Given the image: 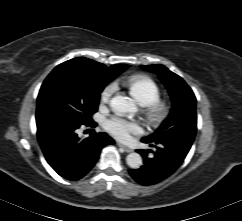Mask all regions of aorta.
<instances>
[{
  "mask_svg": "<svg viewBox=\"0 0 242 221\" xmlns=\"http://www.w3.org/2000/svg\"><path fill=\"white\" fill-rule=\"evenodd\" d=\"M110 106L113 110L120 113L134 112L136 107L133 100L125 96H115L110 100ZM127 165L132 169H138L142 165V157L136 152H132L126 157Z\"/></svg>",
  "mask_w": 242,
  "mask_h": 221,
  "instance_id": "obj_1",
  "label": "aorta"
}]
</instances>
